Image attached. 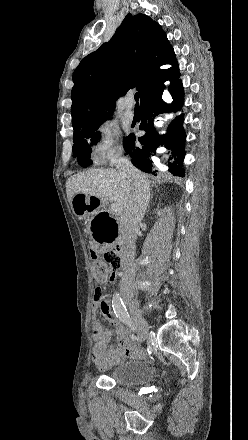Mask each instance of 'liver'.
Segmentation results:
<instances>
[{
  "label": "liver",
  "instance_id": "6515ba94",
  "mask_svg": "<svg viewBox=\"0 0 248 440\" xmlns=\"http://www.w3.org/2000/svg\"><path fill=\"white\" fill-rule=\"evenodd\" d=\"M149 184V175L142 173ZM68 201L77 193L97 198L109 197L125 208L134 194V184L116 169H90L71 176L66 182Z\"/></svg>",
  "mask_w": 248,
  "mask_h": 440
}]
</instances>
